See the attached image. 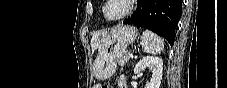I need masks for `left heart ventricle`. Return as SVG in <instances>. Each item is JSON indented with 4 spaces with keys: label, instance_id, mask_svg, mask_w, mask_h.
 I'll use <instances>...</instances> for the list:
<instances>
[{
    "label": "left heart ventricle",
    "instance_id": "1",
    "mask_svg": "<svg viewBox=\"0 0 227 88\" xmlns=\"http://www.w3.org/2000/svg\"><path fill=\"white\" fill-rule=\"evenodd\" d=\"M121 10H122L121 6L114 5L107 9V14L109 16H115V15H118L121 12Z\"/></svg>",
    "mask_w": 227,
    "mask_h": 88
}]
</instances>
